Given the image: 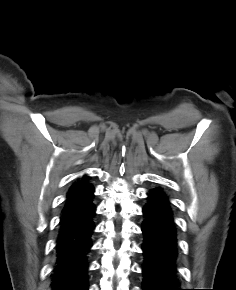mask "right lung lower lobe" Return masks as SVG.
<instances>
[{"label": "right lung lower lobe", "instance_id": "1", "mask_svg": "<svg viewBox=\"0 0 236 290\" xmlns=\"http://www.w3.org/2000/svg\"><path fill=\"white\" fill-rule=\"evenodd\" d=\"M92 198L83 206L62 213L52 290H88V254L96 211Z\"/></svg>", "mask_w": 236, "mask_h": 290}]
</instances>
